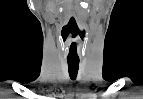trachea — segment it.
Wrapping results in <instances>:
<instances>
[{
	"instance_id": "trachea-1",
	"label": "trachea",
	"mask_w": 143,
	"mask_h": 99,
	"mask_svg": "<svg viewBox=\"0 0 143 99\" xmlns=\"http://www.w3.org/2000/svg\"><path fill=\"white\" fill-rule=\"evenodd\" d=\"M79 60H68L69 76L72 80H75L78 74Z\"/></svg>"
}]
</instances>
